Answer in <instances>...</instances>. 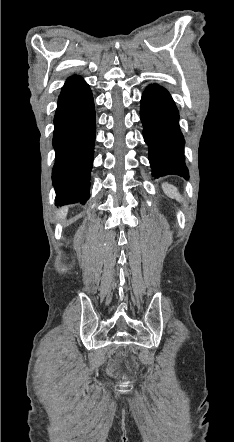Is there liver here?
Returning a JSON list of instances; mask_svg holds the SVG:
<instances>
[{
  "mask_svg": "<svg viewBox=\"0 0 234 442\" xmlns=\"http://www.w3.org/2000/svg\"><path fill=\"white\" fill-rule=\"evenodd\" d=\"M68 208L64 207L59 211V219H64L67 215Z\"/></svg>",
  "mask_w": 234,
  "mask_h": 442,
  "instance_id": "1",
  "label": "liver"
}]
</instances>
